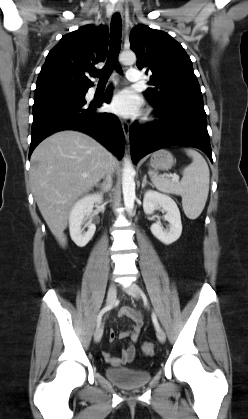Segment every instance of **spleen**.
<instances>
[{"label": "spleen", "instance_id": "obj_1", "mask_svg": "<svg viewBox=\"0 0 248 419\" xmlns=\"http://www.w3.org/2000/svg\"><path fill=\"white\" fill-rule=\"evenodd\" d=\"M192 163L182 171L180 182L170 180L164 175L151 176L154 186L165 193L180 195L185 215L196 219L203 211L209 193L210 172L203 156L193 149H185Z\"/></svg>", "mask_w": 248, "mask_h": 419}]
</instances>
